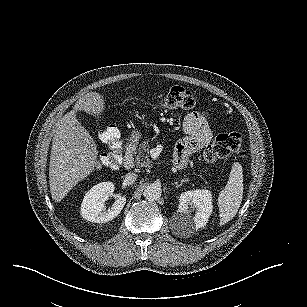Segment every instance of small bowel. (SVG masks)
I'll use <instances>...</instances> for the list:
<instances>
[{
    "instance_id": "small-bowel-1",
    "label": "small bowel",
    "mask_w": 307,
    "mask_h": 307,
    "mask_svg": "<svg viewBox=\"0 0 307 307\" xmlns=\"http://www.w3.org/2000/svg\"><path fill=\"white\" fill-rule=\"evenodd\" d=\"M183 126L187 137L177 143L174 152V162L179 168L184 167L189 157L207 146L212 138L204 112L189 113L184 119Z\"/></svg>"
}]
</instances>
